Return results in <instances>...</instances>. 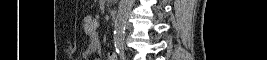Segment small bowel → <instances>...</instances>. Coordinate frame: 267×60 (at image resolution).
<instances>
[{
  "label": "small bowel",
  "instance_id": "c3829d8e",
  "mask_svg": "<svg viewBox=\"0 0 267 60\" xmlns=\"http://www.w3.org/2000/svg\"><path fill=\"white\" fill-rule=\"evenodd\" d=\"M102 52L99 36L96 32L89 34L88 46L84 51L85 59H91L94 55H100ZM107 60H117V55L112 53Z\"/></svg>",
  "mask_w": 267,
  "mask_h": 60
}]
</instances>
